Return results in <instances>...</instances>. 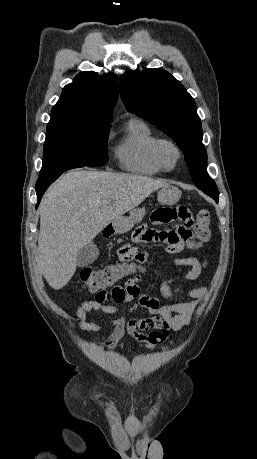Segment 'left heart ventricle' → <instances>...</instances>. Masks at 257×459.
<instances>
[{"instance_id":"1","label":"left heart ventricle","mask_w":257,"mask_h":459,"mask_svg":"<svg viewBox=\"0 0 257 459\" xmlns=\"http://www.w3.org/2000/svg\"><path fill=\"white\" fill-rule=\"evenodd\" d=\"M162 156L168 166H172L176 160V152L170 146H164L162 149Z\"/></svg>"}]
</instances>
